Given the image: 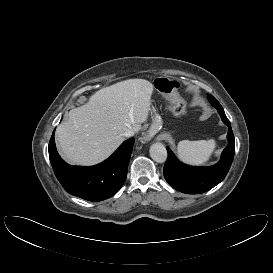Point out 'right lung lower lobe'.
Returning <instances> with one entry per match:
<instances>
[{"label": "right lung lower lobe", "mask_w": 273, "mask_h": 273, "mask_svg": "<svg viewBox=\"0 0 273 273\" xmlns=\"http://www.w3.org/2000/svg\"><path fill=\"white\" fill-rule=\"evenodd\" d=\"M54 132L49 142V158L57 179L68 193L89 201H102L120 190L127 176L134 138L123 142L102 163L82 167L68 165L61 159L56 150Z\"/></svg>", "instance_id": "right-lung-lower-lobe-1"}]
</instances>
